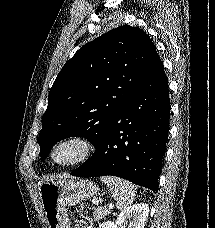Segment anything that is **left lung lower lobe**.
I'll return each mask as SVG.
<instances>
[{
  "instance_id": "left-lung-lower-lobe-1",
  "label": "left lung lower lobe",
  "mask_w": 215,
  "mask_h": 228,
  "mask_svg": "<svg viewBox=\"0 0 215 228\" xmlns=\"http://www.w3.org/2000/svg\"><path fill=\"white\" fill-rule=\"evenodd\" d=\"M168 88L157 55L145 78L115 114L92 158L70 175H112L157 192L169 131Z\"/></svg>"
}]
</instances>
